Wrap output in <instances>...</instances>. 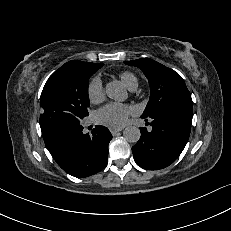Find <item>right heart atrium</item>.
<instances>
[{
	"mask_svg": "<svg viewBox=\"0 0 231 231\" xmlns=\"http://www.w3.org/2000/svg\"><path fill=\"white\" fill-rule=\"evenodd\" d=\"M87 94L93 103L100 102L104 97L103 84L99 77H94L88 84Z\"/></svg>",
	"mask_w": 231,
	"mask_h": 231,
	"instance_id": "d8ad5b80",
	"label": "right heart atrium"
}]
</instances>
